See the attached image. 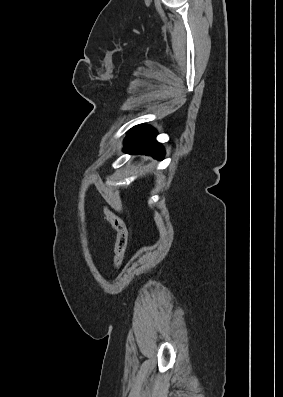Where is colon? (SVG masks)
Returning <instances> with one entry per match:
<instances>
[{"instance_id": "5ec220e1", "label": "colon", "mask_w": 283, "mask_h": 397, "mask_svg": "<svg viewBox=\"0 0 283 397\" xmlns=\"http://www.w3.org/2000/svg\"><path fill=\"white\" fill-rule=\"evenodd\" d=\"M104 215L112 228L116 231L113 265L115 269H118L126 252L129 228L121 217L107 207L104 208Z\"/></svg>"}]
</instances>
